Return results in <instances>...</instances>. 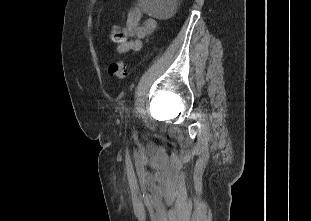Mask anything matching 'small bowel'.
<instances>
[{"mask_svg":"<svg viewBox=\"0 0 311 221\" xmlns=\"http://www.w3.org/2000/svg\"><path fill=\"white\" fill-rule=\"evenodd\" d=\"M141 19L142 11L139 7H132L128 11L124 31L127 36L131 37V39L118 45L117 52L119 54L141 50L142 40L157 28V20L155 18L148 17L142 24Z\"/></svg>","mask_w":311,"mask_h":221,"instance_id":"small-bowel-1","label":"small bowel"}]
</instances>
